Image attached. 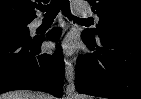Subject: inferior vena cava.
Here are the masks:
<instances>
[{"instance_id":"602c4592","label":"inferior vena cava","mask_w":141,"mask_h":99,"mask_svg":"<svg viewBox=\"0 0 141 99\" xmlns=\"http://www.w3.org/2000/svg\"><path fill=\"white\" fill-rule=\"evenodd\" d=\"M36 96L38 99H51V97L48 94H44L42 92H37Z\"/></svg>"}]
</instances>
